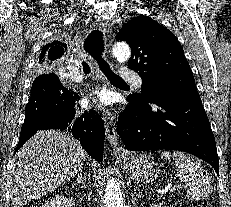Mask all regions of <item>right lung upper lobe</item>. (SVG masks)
Segmentation results:
<instances>
[{"instance_id": "cb5924a9", "label": "right lung upper lobe", "mask_w": 231, "mask_h": 207, "mask_svg": "<svg viewBox=\"0 0 231 207\" xmlns=\"http://www.w3.org/2000/svg\"><path fill=\"white\" fill-rule=\"evenodd\" d=\"M66 51V44L62 42H52L44 47L40 55L41 63H48L60 58Z\"/></svg>"}]
</instances>
